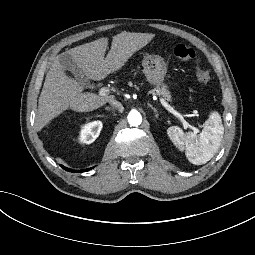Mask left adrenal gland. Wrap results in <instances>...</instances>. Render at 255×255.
<instances>
[{
    "label": "left adrenal gland",
    "instance_id": "1",
    "mask_svg": "<svg viewBox=\"0 0 255 255\" xmlns=\"http://www.w3.org/2000/svg\"><path fill=\"white\" fill-rule=\"evenodd\" d=\"M149 107H151V109L154 111L155 113V117L158 118L159 114L156 108H154L152 105L149 104Z\"/></svg>",
    "mask_w": 255,
    "mask_h": 255
}]
</instances>
